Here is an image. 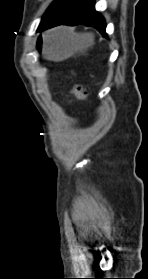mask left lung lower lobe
Masks as SVG:
<instances>
[{
  "instance_id": "left-lung-lower-lobe-1",
  "label": "left lung lower lobe",
  "mask_w": 148,
  "mask_h": 279,
  "mask_svg": "<svg viewBox=\"0 0 148 279\" xmlns=\"http://www.w3.org/2000/svg\"><path fill=\"white\" fill-rule=\"evenodd\" d=\"M79 24L94 27L104 37H107L105 19L95 10L94 0H65L41 21L37 31H44L58 25L75 26Z\"/></svg>"
}]
</instances>
